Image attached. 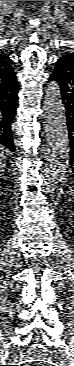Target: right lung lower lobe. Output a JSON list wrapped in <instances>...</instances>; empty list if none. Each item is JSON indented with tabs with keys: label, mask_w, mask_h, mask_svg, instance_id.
Instances as JSON below:
<instances>
[{
	"label": "right lung lower lobe",
	"mask_w": 74,
	"mask_h": 366,
	"mask_svg": "<svg viewBox=\"0 0 74 366\" xmlns=\"http://www.w3.org/2000/svg\"><path fill=\"white\" fill-rule=\"evenodd\" d=\"M16 76L8 83H0V145L14 152L12 123L17 108Z\"/></svg>",
	"instance_id": "1"
}]
</instances>
